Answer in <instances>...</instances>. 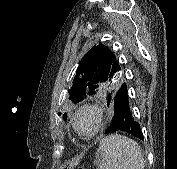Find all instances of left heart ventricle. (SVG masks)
I'll list each match as a JSON object with an SVG mask.
<instances>
[{"label": "left heart ventricle", "instance_id": "b2bd125f", "mask_svg": "<svg viewBox=\"0 0 177 169\" xmlns=\"http://www.w3.org/2000/svg\"><path fill=\"white\" fill-rule=\"evenodd\" d=\"M78 125L83 132H90L94 126L92 116L90 114H83L78 120Z\"/></svg>", "mask_w": 177, "mask_h": 169}]
</instances>
